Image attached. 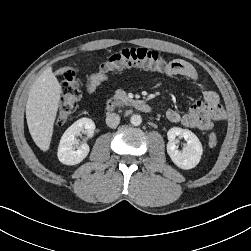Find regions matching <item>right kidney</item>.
<instances>
[{
  "label": "right kidney",
  "mask_w": 251,
  "mask_h": 251,
  "mask_svg": "<svg viewBox=\"0 0 251 251\" xmlns=\"http://www.w3.org/2000/svg\"><path fill=\"white\" fill-rule=\"evenodd\" d=\"M95 131V123L89 118H81L73 123L62 135L57 156L65 165H76L88 155L90 148L87 143L79 145L77 136L86 133L92 137Z\"/></svg>",
  "instance_id": "1"
}]
</instances>
